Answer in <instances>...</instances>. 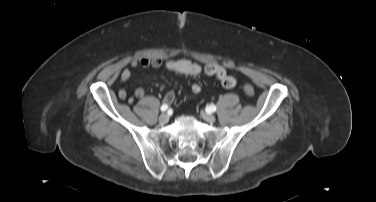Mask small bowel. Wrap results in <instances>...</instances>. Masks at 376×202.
Segmentation results:
<instances>
[{"label": "small bowel", "mask_w": 376, "mask_h": 202, "mask_svg": "<svg viewBox=\"0 0 376 202\" xmlns=\"http://www.w3.org/2000/svg\"><path fill=\"white\" fill-rule=\"evenodd\" d=\"M131 67L136 69L138 67L143 68H160L163 67L166 71L170 73L186 75L191 77H197L201 74H206L209 76H216L220 83L226 88H233L236 85V79L230 76L225 68L217 64H207L205 66L194 63L190 60L180 59V60H168L163 62L158 58H141L135 59L131 62ZM131 70L125 68L120 73V79L122 82H127L131 78ZM192 90L194 93L200 91V87L197 84H193ZM118 97L127 102L133 103L135 98H142L145 95V90L142 87L135 89L133 96H128L125 89L120 88L117 92ZM175 94L169 91L165 95V102L170 104L173 102Z\"/></svg>", "instance_id": "1"}]
</instances>
